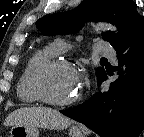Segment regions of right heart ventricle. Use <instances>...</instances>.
<instances>
[{"mask_svg":"<svg viewBox=\"0 0 144 137\" xmlns=\"http://www.w3.org/2000/svg\"><path fill=\"white\" fill-rule=\"evenodd\" d=\"M55 52L50 47H45L34 52L25 64V67L20 75L17 83L16 93L18 99L25 104H34L39 100L34 96L30 89L29 81L34 68L40 63L52 59Z\"/></svg>","mask_w":144,"mask_h":137,"instance_id":"obj_1","label":"right heart ventricle"}]
</instances>
